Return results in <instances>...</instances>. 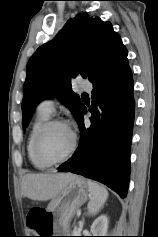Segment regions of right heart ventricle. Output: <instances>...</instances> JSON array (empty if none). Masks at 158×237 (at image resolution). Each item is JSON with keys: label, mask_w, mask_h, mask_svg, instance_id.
I'll list each match as a JSON object with an SVG mask.
<instances>
[{"label": "right heart ventricle", "mask_w": 158, "mask_h": 237, "mask_svg": "<svg viewBox=\"0 0 158 237\" xmlns=\"http://www.w3.org/2000/svg\"><path fill=\"white\" fill-rule=\"evenodd\" d=\"M49 117H50V114L45 113L38 109V113L31 126V129L27 138L26 148H27L28 158L30 162L33 164V166L40 170L46 169L47 167H49V165L44 164L43 162L38 160L37 157L35 156L34 148H33L34 139L39 129L48 121Z\"/></svg>", "instance_id": "e07e8e85"}]
</instances>
